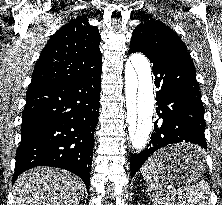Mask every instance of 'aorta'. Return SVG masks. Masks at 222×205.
<instances>
[{
	"mask_svg": "<svg viewBox=\"0 0 222 205\" xmlns=\"http://www.w3.org/2000/svg\"><path fill=\"white\" fill-rule=\"evenodd\" d=\"M125 97L128 120V145L142 153L153 129L154 93L148 59L135 53L125 66Z\"/></svg>",
	"mask_w": 222,
	"mask_h": 205,
	"instance_id": "aorta-1",
	"label": "aorta"
}]
</instances>
